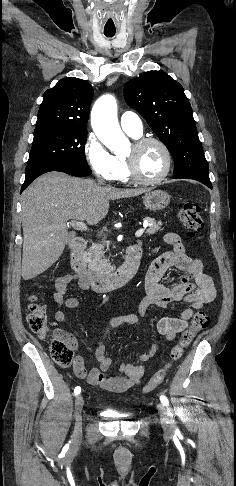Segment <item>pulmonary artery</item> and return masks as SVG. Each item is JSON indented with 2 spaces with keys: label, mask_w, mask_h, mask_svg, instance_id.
<instances>
[{
  "label": "pulmonary artery",
  "mask_w": 236,
  "mask_h": 486,
  "mask_svg": "<svg viewBox=\"0 0 236 486\" xmlns=\"http://www.w3.org/2000/svg\"><path fill=\"white\" fill-rule=\"evenodd\" d=\"M120 125L122 129L131 136L139 137L143 133L142 121L134 112H124L120 117Z\"/></svg>",
  "instance_id": "pulmonary-artery-1"
}]
</instances>
